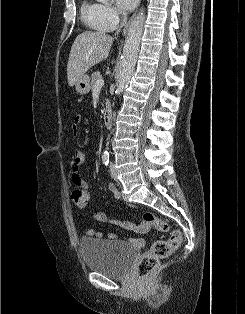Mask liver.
Listing matches in <instances>:
<instances>
[{
  "label": "liver",
  "instance_id": "6515ba94",
  "mask_svg": "<svg viewBox=\"0 0 245 314\" xmlns=\"http://www.w3.org/2000/svg\"><path fill=\"white\" fill-rule=\"evenodd\" d=\"M113 40L108 34L93 31L83 32L76 37L67 64L70 87L91 67L108 57Z\"/></svg>",
  "mask_w": 245,
  "mask_h": 314
}]
</instances>
